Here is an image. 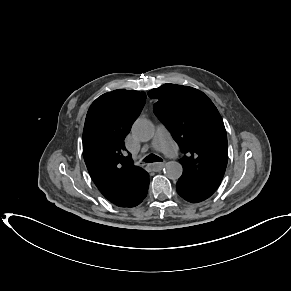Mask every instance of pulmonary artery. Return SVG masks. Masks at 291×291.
<instances>
[{
  "instance_id": "e3ab8cb5",
  "label": "pulmonary artery",
  "mask_w": 291,
  "mask_h": 291,
  "mask_svg": "<svg viewBox=\"0 0 291 291\" xmlns=\"http://www.w3.org/2000/svg\"><path fill=\"white\" fill-rule=\"evenodd\" d=\"M152 147L158 151L165 153L169 157H175L178 154V148L172 140L169 132L163 125H158Z\"/></svg>"
}]
</instances>
